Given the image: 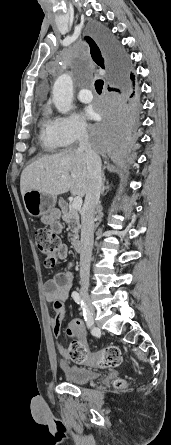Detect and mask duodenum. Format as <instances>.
<instances>
[{
  "label": "duodenum",
  "mask_w": 171,
  "mask_h": 445,
  "mask_svg": "<svg viewBox=\"0 0 171 445\" xmlns=\"http://www.w3.org/2000/svg\"><path fill=\"white\" fill-rule=\"evenodd\" d=\"M72 244H73V247H74L75 251L82 252V250H83V243H82V240H81L80 237H78V236L73 237Z\"/></svg>",
  "instance_id": "410a0bca"
}]
</instances>
